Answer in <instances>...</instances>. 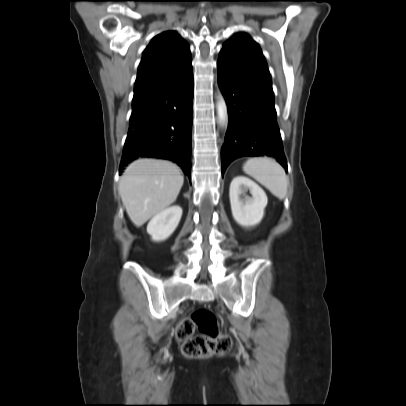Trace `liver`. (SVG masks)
Listing matches in <instances>:
<instances>
[{
  "label": "liver",
  "instance_id": "liver-1",
  "mask_svg": "<svg viewBox=\"0 0 406 406\" xmlns=\"http://www.w3.org/2000/svg\"><path fill=\"white\" fill-rule=\"evenodd\" d=\"M184 182L180 168L169 161L138 159L122 175L119 194L137 227L165 210L177 198Z\"/></svg>",
  "mask_w": 406,
  "mask_h": 406
}]
</instances>
